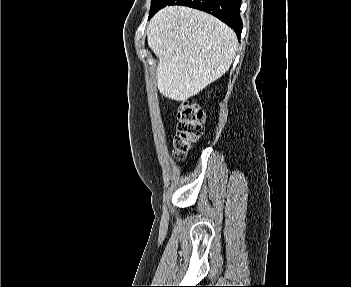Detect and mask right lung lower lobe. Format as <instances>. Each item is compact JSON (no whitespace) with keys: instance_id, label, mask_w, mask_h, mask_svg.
<instances>
[{"instance_id":"right-lung-lower-lobe-1","label":"right lung lower lobe","mask_w":351,"mask_h":287,"mask_svg":"<svg viewBox=\"0 0 351 287\" xmlns=\"http://www.w3.org/2000/svg\"><path fill=\"white\" fill-rule=\"evenodd\" d=\"M241 0H161L150 12L152 17L159 9L170 5H183L205 11L229 25L240 39L242 20L240 18Z\"/></svg>"}]
</instances>
